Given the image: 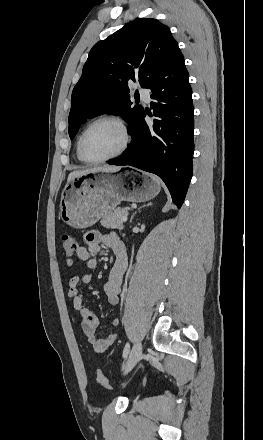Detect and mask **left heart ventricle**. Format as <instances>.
<instances>
[{
	"mask_svg": "<svg viewBox=\"0 0 263 440\" xmlns=\"http://www.w3.org/2000/svg\"><path fill=\"white\" fill-rule=\"evenodd\" d=\"M123 135L117 125L112 122L96 124L86 136L84 149L93 159L108 156L119 149Z\"/></svg>",
	"mask_w": 263,
	"mask_h": 440,
	"instance_id": "1",
	"label": "left heart ventricle"
}]
</instances>
